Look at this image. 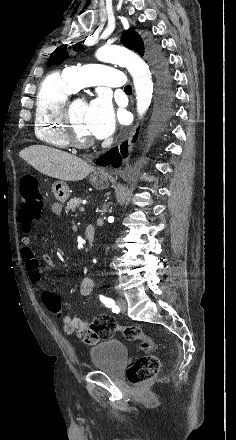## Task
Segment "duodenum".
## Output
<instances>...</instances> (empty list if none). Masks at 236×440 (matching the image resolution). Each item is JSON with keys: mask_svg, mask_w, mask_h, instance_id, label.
Masks as SVG:
<instances>
[{"mask_svg": "<svg viewBox=\"0 0 236 440\" xmlns=\"http://www.w3.org/2000/svg\"><path fill=\"white\" fill-rule=\"evenodd\" d=\"M85 238L88 245H92L95 239V228L93 225H87L84 230Z\"/></svg>", "mask_w": 236, "mask_h": 440, "instance_id": "1", "label": "duodenum"}]
</instances>
